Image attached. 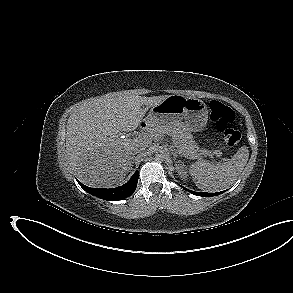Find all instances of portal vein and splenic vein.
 <instances>
[{
	"instance_id": "obj_1",
	"label": "portal vein and splenic vein",
	"mask_w": 293,
	"mask_h": 293,
	"mask_svg": "<svg viewBox=\"0 0 293 293\" xmlns=\"http://www.w3.org/2000/svg\"><path fill=\"white\" fill-rule=\"evenodd\" d=\"M145 137L147 136V134L144 135ZM205 154H207L208 156H210L211 158H214V155H218L217 152H205Z\"/></svg>"
}]
</instances>
